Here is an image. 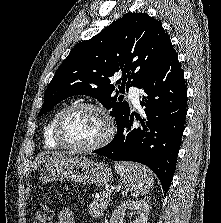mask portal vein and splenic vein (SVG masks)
I'll return each mask as SVG.
<instances>
[{
    "mask_svg": "<svg viewBox=\"0 0 221 223\" xmlns=\"http://www.w3.org/2000/svg\"><path fill=\"white\" fill-rule=\"evenodd\" d=\"M115 189H116V188H115ZM105 193H109V194H110V193H111V190H107ZM105 193H104V194H105Z\"/></svg>",
    "mask_w": 221,
    "mask_h": 223,
    "instance_id": "obj_1",
    "label": "portal vein and splenic vein"
}]
</instances>
